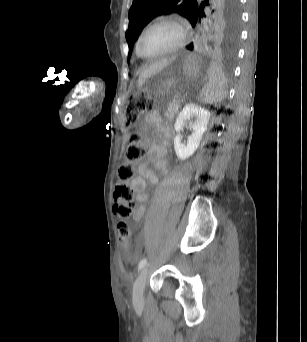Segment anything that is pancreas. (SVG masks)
<instances>
[{
  "mask_svg": "<svg viewBox=\"0 0 307 342\" xmlns=\"http://www.w3.org/2000/svg\"><path fill=\"white\" fill-rule=\"evenodd\" d=\"M179 105H180V102H179V100L177 98L175 100H172L171 106H167L166 107V113H165L166 116L167 117H172L174 112H175V108L179 107Z\"/></svg>",
  "mask_w": 307,
  "mask_h": 342,
  "instance_id": "obj_1",
  "label": "pancreas"
}]
</instances>
